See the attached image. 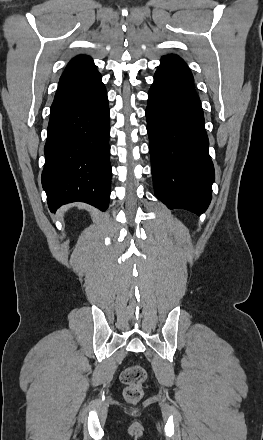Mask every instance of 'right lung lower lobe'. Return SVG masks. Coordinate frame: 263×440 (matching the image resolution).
Here are the masks:
<instances>
[{"instance_id": "obj_1", "label": "right lung lower lobe", "mask_w": 263, "mask_h": 440, "mask_svg": "<svg viewBox=\"0 0 263 440\" xmlns=\"http://www.w3.org/2000/svg\"><path fill=\"white\" fill-rule=\"evenodd\" d=\"M47 132L42 185L51 212L75 201L105 211L111 185L109 107L97 70L58 85Z\"/></svg>"}]
</instances>
